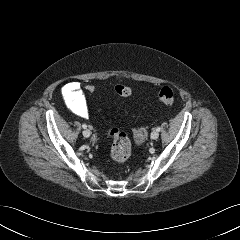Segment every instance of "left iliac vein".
Instances as JSON below:
<instances>
[{
	"label": "left iliac vein",
	"instance_id": "left-iliac-vein-1",
	"mask_svg": "<svg viewBox=\"0 0 240 240\" xmlns=\"http://www.w3.org/2000/svg\"><path fill=\"white\" fill-rule=\"evenodd\" d=\"M158 137H159L158 131H156V130L152 131L151 139L156 140V139H158Z\"/></svg>",
	"mask_w": 240,
	"mask_h": 240
}]
</instances>
